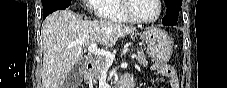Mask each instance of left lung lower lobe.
<instances>
[{
	"label": "left lung lower lobe",
	"mask_w": 227,
	"mask_h": 88,
	"mask_svg": "<svg viewBox=\"0 0 227 88\" xmlns=\"http://www.w3.org/2000/svg\"><path fill=\"white\" fill-rule=\"evenodd\" d=\"M180 10H175L170 7H167L166 11V16L162 19L163 25H176L177 20H178V15H179Z\"/></svg>",
	"instance_id": "0a47b994"
}]
</instances>
